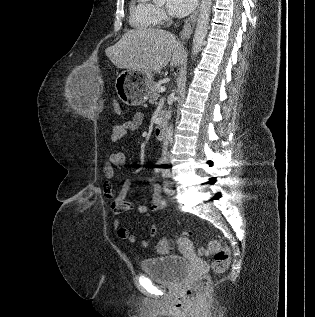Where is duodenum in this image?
I'll use <instances>...</instances> for the list:
<instances>
[{
    "instance_id": "1",
    "label": "duodenum",
    "mask_w": 315,
    "mask_h": 317,
    "mask_svg": "<svg viewBox=\"0 0 315 317\" xmlns=\"http://www.w3.org/2000/svg\"><path fill=\"white\" fill-rule=\"evenodd\" d=\"M166 124H167L166 115L161 114L160 117L158 118L155 130H154V134L158 139H161L164 137Z\"/></svg>"
}]
</instances>
